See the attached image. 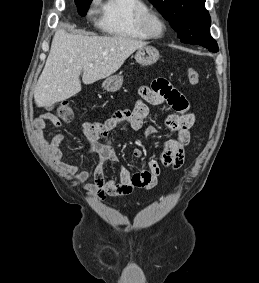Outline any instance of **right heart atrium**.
Listing matches in <instances>:
<instances>
[{
	"mask_svg": "<svg viewBox=\"0 0 259 283\" xmlns=\"http://www.w3.org/2000/svg\"><path fill=\"white\" fill-rule=\"evenodd\" d=\"M98 1H99V0H94V1H93V4H96V3H98Z\"/></svg>",
	"mask_w": 259,
	"mask_h": 283,
	"instance_id": "d8ad5b80",
	"label": "right heart atrium"
}]
</instances>
